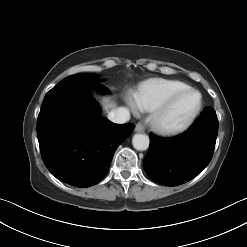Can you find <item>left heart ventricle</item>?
Returning <instances> with one entry per match:
<instances>
[{
	"instance_id": "obj_1",
	"label": "left heart ventricle",
	"mask_w": 247,
	"mask_h": 247,
	"mask_svg": "<svg viewBox=\"0 0 247 247\" xmlns=\"http://www.w3.org/2000/svg\"><path fill=\"white\" fill-rule=\"evenodd\" d=\"M198 103V95L189 93L182 96L170 109L164 118V123L175 126L183 122L194 110Z\"/></svg>"
}]
</instances>
